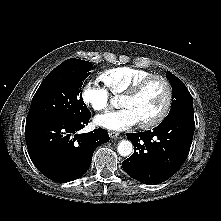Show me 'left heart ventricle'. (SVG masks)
<instances>
[{"mask_svg": "<svg viewBox=\"0 0 221 221\" xmlns=\"http://www.w3.org/2000/svg\"><path fill=\"white\" fill-rule=\"evenodd\" d=\"M166 100V88L159 80L150 81L135 98H121L120 106L130 109L138 122L154 118Z\"/></svg>", "mask_w": 221, "mask_h": 221, "instance_id": "left-heart-ventricle-1", "label": "left heart ventricle"}]
</instances>
